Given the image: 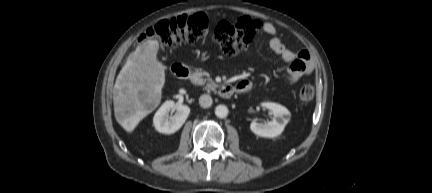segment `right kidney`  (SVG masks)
Segmentation results:
<instances>
[{"label": "right kidney", "instance_id": "right-kidney-1", "mask_svg": "<svg viewBox=\"0 0 432 193\" xmlns=\"http://www.w3.org/2000/svg\"><path fill=\"white\" fill-rule=\"evenodd\" d=\"M173 110H176L175 114L169 116V112ZM189 113L190 108L188 106L166 101L154 115V127L160 133H175L185 123Z\"/></svg>", "mask_w": 432, "mask_h": 193}]
</instances>
